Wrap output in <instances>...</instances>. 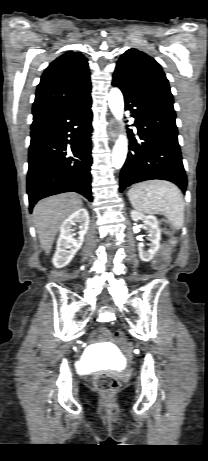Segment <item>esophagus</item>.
<instances>
[{"instance_id": "34e87169", "label": "esophagus", "mask_w": 208, "mask_h": 461, "mask_svg": "<svg viewBox=\"0 0 208 461\" xmlns=\"http://www.w3.org/2000/svg\"><path fill=\"white\" fill-rule=\"evenodd\" d=\"M108 133L113 140L117 138V130H116V124L114 120H111L110 122Z\"/></svg>"}]
</instances>
